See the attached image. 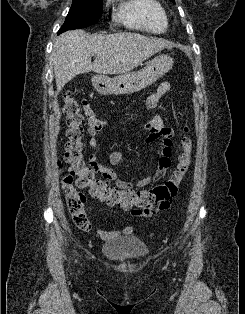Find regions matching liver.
Wrapping results in <instances>:
<instances>
[{
  "label": "liver",
  "mask_w": 245,
  "mask_h": 314,
  "mask_svg": "<svg viewBox=\"0 0 245 314\" xmlns=\"http://www.w3.org/2000/svg\"><path fill=\"white\" fill-rule=\"evenodd\" d=\"M172 46L163 39L131 32L90 35L84 30L67 31L55 39L51 54L57 92L77 74H124Z\"/></svg>",
  "instance_id": "obj_1"
}]
</instances>
